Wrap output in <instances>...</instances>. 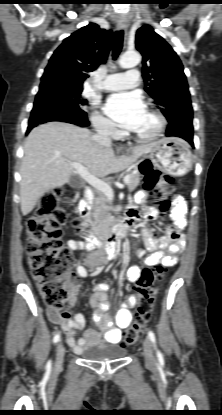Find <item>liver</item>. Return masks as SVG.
<instances>
[{
  "mask_svg": "<svg viewBox=\"0 0 222 415\" xmlns=\"http://www.w3.org/2000/svg\"><path fill=\"white\" fill-rule=\"evenodd\" d=\"M91 131L64 122H49L34 128L26 138L21 164V212L29 214L48 191L69 182L70 162L84 165L95 177H105L129 167L149 153L154 143L131 149L130 156L117 157L111 145H101Z\"/></svg>",
  "mask_w": 222,
  "mask_h": 415,
  "instance_id": "liver-1",
  "label": "liver"
}]
</instances>
